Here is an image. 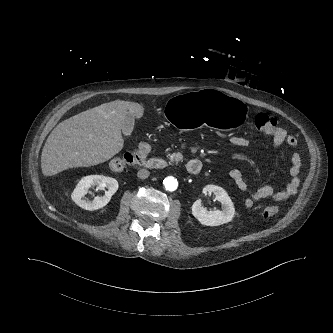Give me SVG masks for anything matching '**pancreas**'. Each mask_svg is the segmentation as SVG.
I'll use <instances>...</instances> for the list:
<instances>
[{"instance_id":"pancreas-1","label":"pancreas","mask_w":333,"mask_h":333,"mask_svg":"<svg viewBox=\"0 0 333 333\" xmlns=\"http://www.w3.org/2000/svg\"><path fill=\"white\" fill-rule=\"evenodd\" d=\"M168 157L170 158L171 162H179L183 159V155L180 152L169 154Z\"/></svg>"}]
</instances>
